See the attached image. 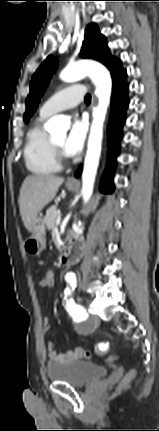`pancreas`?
Masks as SVG:
<instances>
[{"mask_svg":"<svg viewBox=\"0 0 159 431\" xmlns=\"http://www.w3.org/2000/svg\"><path fill=\"white\" fill-rule=\"evenodd\" d=\"M58 216L59 212L56 206H51L47 209L44 221L48 230H53L55 228Z\"/></svg>","mask_w":159,"mask_h":431,"instance_id":"pancreas-1","label":"pancreas"}]
</instances>
